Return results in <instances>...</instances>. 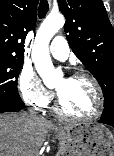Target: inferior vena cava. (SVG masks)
Wrapping results in <instances>:
<instances>
[{
    "label": "inferior vena cava",
    "mask_w": 114,
    "mask_h": 156,
    "mask_svg": "<svg viewBox=\"0 0 114 156\" xmlns=\"http://www.w3.org/2000/svg\"><path fill=\"white\" fill-rule=\"evenodd\" d=\"M29 115L34 118H41V116L34 110H29Z\"/></svg>",
    "instance_id": "1"
}]
</instances>
